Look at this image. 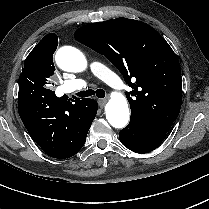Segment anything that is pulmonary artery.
Returning <instances> with one entry per match:
<instances>
[{
    "label": "pulmonary artery",
    "mask_w": 209,
    "mask_h": 209,
    "mask_svg": "<svg viewBox=\"0 0 209 209\" xmlns=\"http://www.w3.org/2000/svg\"><path fill=\"white\" fill-rule=\"evenodd\" d=\"M89 68L95 78L104 81L115 91L120 90V80L118 75L113 70L109 69L105 64L94 60L90 62ZM85 84V80L77 79L74 82L64 81L62 87L65 93H70L75 89L82 88Z\"/></svg>",
    "instance_id": "1"
}]
</instances>
